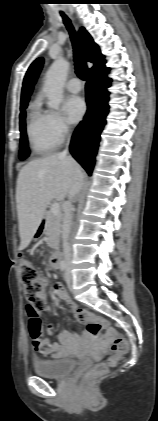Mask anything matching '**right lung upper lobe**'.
<instances>
[{
	"instance_id": "cb5924a9",
	"label": "right lung upper lobe",
	"mask_w": 158,
	"mask_h": 421,
	"mask_svg": "<svg viewBox=\"0 0 158 421\" xmlns=\"http://www.w3.org/2000/svg\"><path fill=\"white\" fill-rule=\"evenodd\" d=\"M79 39L80 44L84 50L86 59L94 64V66L90 69V72L103 66L105 63L104 56L101 54L98 45L94 43L90 34L83 27L80 28ZM42 65L43 58H38L29 67L23 81L21 105H25L28 103L29 96L32 93V86L40 73Z\"/></svg>"
}]
</instances>
